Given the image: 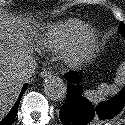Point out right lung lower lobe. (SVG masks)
<instances>
[{"label":"right lung lower lobe","mask_w":125,"mask_h":125,"mask_svg":"<svg viewBox=\"0 0 125 125\" xmlns=\"http://www.w3.org/2000/svg\"><path fill=\"white\" fill-rule=\"evenodd\" d=\"M26 89H27V85H24L22 88V91L20 92V95H19L17 101L14 104V106L11 108V110L7 114V116L2 121H0V125H12V123L17 115V111H18L21 97Z\"/></svg>","instance_id":"obj_1"}]
</instances>
